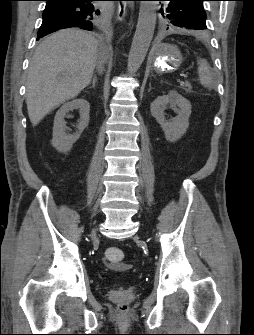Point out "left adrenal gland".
Returning a JSON list of instances; mask_svg holds the SVG:
<instances>
[{"mask_svg":"<svg viewBox=\"0 0 254 335\" xmlns=\"http://www.w3.org/2000/svg\"><path fill=\"white\" fill-rule=\"evenodd\" d=\"M152 89V87H151V83H149V91Z\"/></svg>","mask_w":254,"mask_h":335,"instance_id":"1","label":"left adrenal gland"}]
</instances>
